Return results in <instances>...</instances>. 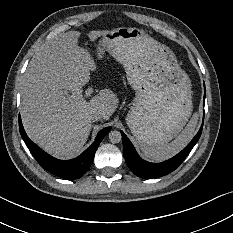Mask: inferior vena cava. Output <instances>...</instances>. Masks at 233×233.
<instances>
[{"label":"inferior vena cava","instance_id":"inferior-vena-cava-1","mask_svg":"<svg viewBox=\"0 0 233 233\" xmlns=\"http://www.w3.org/2000/svg\"><path fill=\"white\" fill-rule=\"evenodd\" d=\"M102 118V114L99 112V111H96V112H93L91 115H90V120L91 121H98Z\"/></svg>","mask_w":233,"mask_h":233}]
</instances>
